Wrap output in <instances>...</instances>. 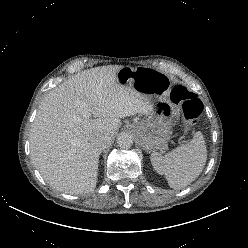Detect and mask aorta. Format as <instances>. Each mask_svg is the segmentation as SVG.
<instances>
[{
	"label": "aorta",
	"mask_w": 248,
	"mask_h": 248,
	"mask_svg": "<svg viewBox=\"0 0 248 248\" xmlns=\"http://www.w3.org/2000/svg\"><path fill=\"white\" fill-rule=\"evenodd\" d=\"M117 144L122 149H129L133 145V137L131 134L123 132L117 136Z\"/></svg>",
	"instance_id": "obj_1"
}]
</instances>
